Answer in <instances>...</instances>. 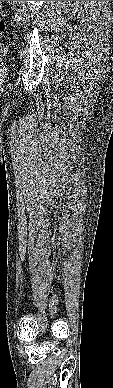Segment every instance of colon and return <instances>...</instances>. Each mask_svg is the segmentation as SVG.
<instances>
[{
  "mask_svg": "<svg viewBox=\"0 0 113 388\" xmlns=\"http://www.w3.org/2000/svg\"><path fill=\"white\" fill-rule=\"evenodd\" d=\"M5 29V23L2 19V14L0 12V33H2V31Z\"/></svg>",
  "mask_w": 113,
  "mask_h": 388,
  "instance_id": "colon-1",
  "label": "colon"
}]
</instances>
